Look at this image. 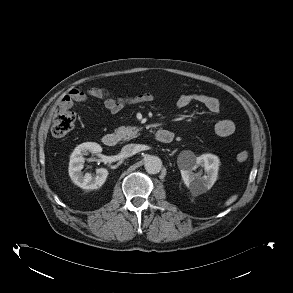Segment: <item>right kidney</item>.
<instances>
[{"instance_id": "obj_1", "label": "right kidney", "mask_w": 293, "mask_h": 293, "mask_svg": "<svg viewBox=\"0 0 293 293\" xmlns=\"http://www.w3.org/2000/svg\"><path fill=\"white\" fill-rule=\"evenodd\" d=\"M102 152V147L93 142H86L78 145L70 156L69 162V176L72 182L82 189L94 190L100 188L106 181L108 170L106 168H99L96 171V176L91 174H82L83 164L85 161L84 155L97 154Z\"/></svg>"}]
</instances>
